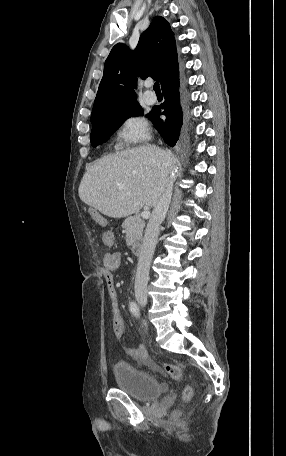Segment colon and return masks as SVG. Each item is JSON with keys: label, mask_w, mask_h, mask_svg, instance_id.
Returning a JSON list of instances; mask_svg holds the SVG:
<instances>
[{"label": "colon", "mask_w": 286, "mask_h": 456, "mask_svg": "<svg viewBox=\"0 0 286 456\" xmlns=\"http://www.w3.org/2000/svg\"><path fill=\"white\" fill-rule=\"evenodd\" d=\"M136 360L147 364L151 369L158 371V365L147 355L145 350L139 349L134 353ZM164 372L166 375L174 380H180L182 377V369L178 365L166 364L164 366Z\"/></svg>", "instance_id": "1"}]
</instances>
